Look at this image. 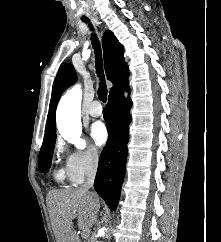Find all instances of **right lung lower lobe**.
<instances>
[{"mask_svg": "<svg viewBox=\"0 0 221 242\" xmlns=\"http://www.w3.org/2000/svg\"><path fill=\"white\" fill-rule=\"evenodd\" d=\"M128 76L121 79L109 92L104 119L108 127V140L100 159L94 182L96 192L107 203L110 210H115L119 201L127 161L128 126L132 102L123 94L122 86L128 89Z\"/></svg>", "mask_w": 221, "mask_h": 242, "instance_id": "98d812e1", "label": "right lung lower lobe"}]
</instances>
